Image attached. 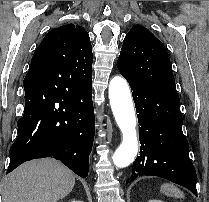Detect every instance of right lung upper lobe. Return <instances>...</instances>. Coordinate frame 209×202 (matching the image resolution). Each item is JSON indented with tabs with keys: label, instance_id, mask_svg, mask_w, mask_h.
<instances>
[{
	"label": "right lung upper lobe",
	"instance_id": "1",
	"mask_svg": "<svg viewBox=\"0 0 209 202\" xmlns=\"http://www.w3.org/2000/svg\"><path fill=\"white\" fill-rule=\"evenodd\" d=\"M93 54L87 31L74 24L47 33L36 49L32 68L48 72L62 85L84 87L91 84Z\"/></svg>",
	"mask_w": 209,
	"mask_h": 202
}]
</instances>
